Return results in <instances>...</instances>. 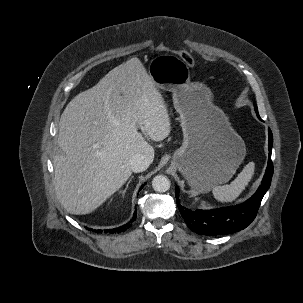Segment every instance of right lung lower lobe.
<instances>
[{
    "label": "right lung lower lobe",
    "mask_w": 303,
    "mask_h": 303,
    "mask_svg": "<svg viewBox=\"0 0 303 303\" xmlns=\"http://www.w3.org/2000/svg\"><path fill=\"white\" fill-rule=\"evenodd\" d=\"M143 186L144 185H142V187ZM135 219H136V212L134 213V216H133V218H132V220L130 222H128L127 224H125V225H123L121 227L115 228V229L105 230V233H107V232H110V233H120V232H123V231L127 230L132 225V222ZM95 231L96 232H102V230H95Z\"/></svg>",
    "instance_id": "right-lung-lower-lobe-1"
}]
</instances>
